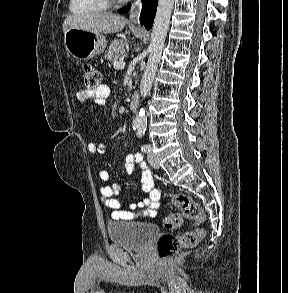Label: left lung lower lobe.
Wrapping results in <instances>:
<instances>
[{
    "mask_svg": "<svg viewBox=\"0 0 288 293\" xmlns=\"http://www.w3.org/2000/svg\"><path fill=\"white\" fill-rule=\"evenodd\" d=\"M131 9V5H128L120 10H118L119 13H127Z\"/></svg>",
    "mask_w": 288,
    "mask_h": 293,
    "instance_id": "obj_1",
    "label": "left lung lower lobe"
}]
</instances>
